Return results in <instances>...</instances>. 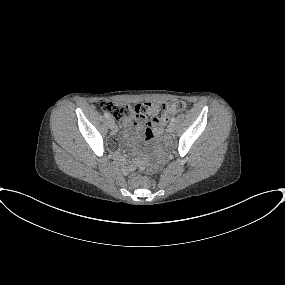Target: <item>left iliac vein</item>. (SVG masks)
<instances>
[{
    "mask_svg": "<svg viewBox=\"0 0 285 285\" xmlns=\"http://www.w3.org/2000/svg\"><path fill=\"white\" fill-rule=\"evenodd\" d=\"M174 124L173 123H170L169 125H168V127H167V131L169 132V133H172V132H174Z\"/></svg>",
    "mask_w": 285,
    "mask_h": 285,
    "instance_id": "obj_1",
    "label": "left iliac vein"
}]
</instances>
